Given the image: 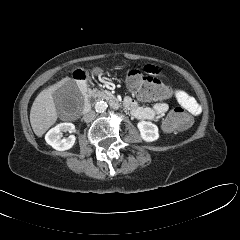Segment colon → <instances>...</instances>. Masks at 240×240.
Here are the masks:
<instances>
[{
    "mask_svg": "<svg viewBox=\"0 0 240 240\" xmlns=\"http://www.w3.org/2000/svg\"><path fill=\"white\" fill-rule=\"evenodd\" d=\"M126 82L137 97L143 101H162L172 96V89L155 76L131 69L126 72ZM192 123L190 115L182 108H175L166 116L163 127L167 132H177Z\"/></svg>",
    "mask_w": 240,
    "mask_h": 240,
    "instance_id": "1",
    "label": "colon"
}]
</instances>
